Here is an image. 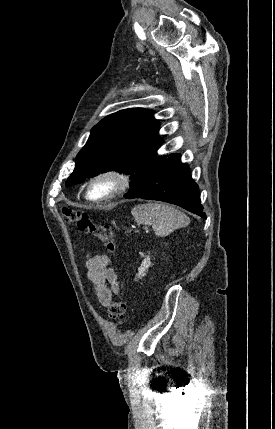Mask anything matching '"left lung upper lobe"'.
<instances>
[{
  "label": "left lung upper lobe",
  "mask_w": 275,
  "mask_h": 429,
  "mask_svg": "<svg viewBox=\"0 0 275 429\" xmlns=\"http://www.w3.org/2000/svg\"><path fill=\"white\" fill-rule=\"evenodd\" d=\"M153 110L130 108L101 120L91 131L86 145L76 157V166L65 185L87 177L117 170L130 175V187L157 156L163 141Z\"/></svg>",
  "instance_id": "left-lung-upper-lobe-1"
}]
</instances>
